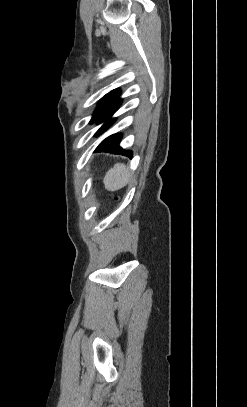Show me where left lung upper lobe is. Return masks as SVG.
I'll list each match as a JSON object with an SVG mask.
<instances>
[{
	"instance_id": "5c2ea615",
	"label": "left lung upper lobe",
	"mask_w": 247,
	"mask_h": 407,
	"mask_svg": "<svg viewBox=\"0 0 247 407\" xmlns=\"http://www.w3.org/2000/svg\"><path fill=\"white\" fill-rule=\"evenodd\" d=\"M120 90L115 89L106 94L99 102L90 122H95L99 116L119 97Z\"/></svg>"
}]
</instances>
